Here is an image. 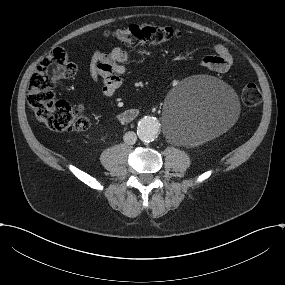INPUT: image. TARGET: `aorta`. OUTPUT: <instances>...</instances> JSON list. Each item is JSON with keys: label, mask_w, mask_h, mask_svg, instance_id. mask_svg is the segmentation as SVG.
Here are the masks:
<instances>
[{"label": "aorta", "mask_w": 285, "mask_h": 285, "mask_svg": "<svg viewBox=\"0 0 285 285\" xmlns=\"http://www.w3.org/2000/svg\"><path fill=\"white\" fill-rule=\"evenodd\" d=\"M160 130V123L153 117H144L140 120L137 134L141 141L151 142L157 137Z\"/></svg>", "instance_id": "obj_1"}]
</instances>
